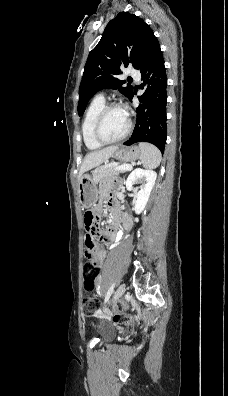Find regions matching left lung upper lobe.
I'll use <instances>...</instances> for the list:
<instances>
[{
    "label": "left lung upper lobe",
    "mask_w": 228,
    "mask_h": 396,
    "mask_svg": "<svg viewBox=\"0 0 228 396\" xmlns=\"http://www.w3.org/2000/svg\"><path fill=\"white\" fill-rule=\"evenodd\" d=\"M156 37L141 18L120 12L106 26L101 40L89 53L79 88L78 114L81 116L88 101L103 88L118 89L130 98L133 87H124L119 80L120 67L133 65L140 70Z\"/></svg>",
    "instance_id": "obj_1"
}]
</instances>
